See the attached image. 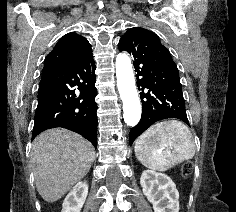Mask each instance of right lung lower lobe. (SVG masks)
<instances>
[{
    "mask_svg": "<svg viewBox=\"0 0 236 212\" xmlns=\"http://www.w3.org/2000/svg\"><path fill=\"white\" fill-rule=\"evenodd\" d=\"M95 62L91 47L59 67L42 70L32 140L41 132L64 127L97 145Z\"/></svg>",
    "mask_w": 236,
    "mask_h": 212,
    "instance_id": "obj_1",
    "label": "right lung lower lobe"
}]
</instances>
